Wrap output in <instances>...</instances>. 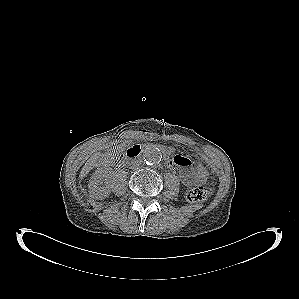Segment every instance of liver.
Returning <instances> with one entry per match:
<instances>
[{
  "label": "liver",
  "mask_w": 299,
  "mask_h": 299,
  "mask_svg": "<svg viewBox=\"0 0 299 299\" xmlns=\"http://www.w3.org/2000/svg\"><path fill=\"white\" fill-rule=\"evenodd\" d=\"M98 158H99V154H95L85 163L80 173L81 179L84 178L91 169H93V167L97 163Z\"/></svg>",
  "instance_id": "6515ba94"
}]
</instances>
